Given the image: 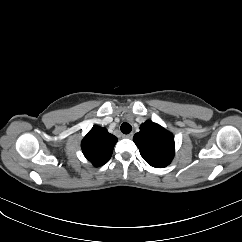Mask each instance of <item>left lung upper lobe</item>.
<instances>
[{
  "label": "left lung upper lobe",
  "instance_id": "obj_1",
  "mask_svg": "<svg viewBox=\"0 0 242 242\" xmlns=\"http://www.w3.org/2000/svg\"><path fill=\"white\" fill-rule=\"evenodd\" d=\"M133 141L144 160L153 167H166L174 157L173 135L150 120L140 125V131L134 135Z\"/></svg>",
  "mask_w": 242,
  "mask_h": 242
}]
</instances>
